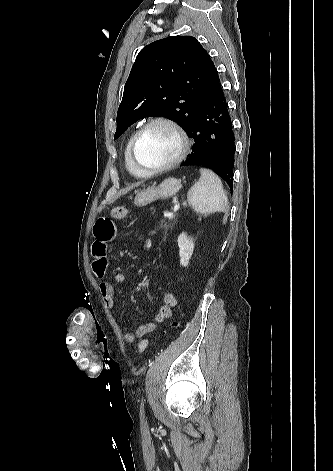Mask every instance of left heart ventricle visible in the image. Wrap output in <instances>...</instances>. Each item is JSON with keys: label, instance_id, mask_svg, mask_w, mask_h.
Returning <instances> with one entry per match:
<instances>
[{"label": "left heart ventricle", "instance_id": "1", "mask_svg": "<svg viewBox=\"0 0 333 471\" xmlns=\"http://www.w3.org/2000/svg\"><path fill=\"white\" fill-rule=\"evenodd\" d=\"M178 152L179 140L175 132L168 126L156 124L142 136L137 159L145 167H156L174 159Z\"/></svg>", "mask_w": 333, "mask_h": 471}]
</instances>
